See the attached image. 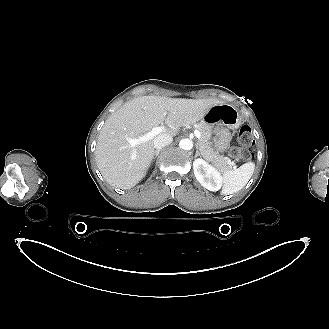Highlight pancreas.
<instances>
[{"mask_svg":"<svg viewBox=\"0 0 329 329\" xmlns=\"http://www.w3.org/2000/svg\"><path fill=\"white\" fill-rule=\"evenodd\" d=\"M196 128L201 133V138L198 142V149L201 151L202 156L208 162L212 163L219 170H225L232 167L229 158L220 155L218 151L212 148V143L210 142L212 136V127L206 123H199Z\"/></svg>","mask_w":329,"mask_h":329,"instance_id":"1","label":"pancreas"}]
</instances>
